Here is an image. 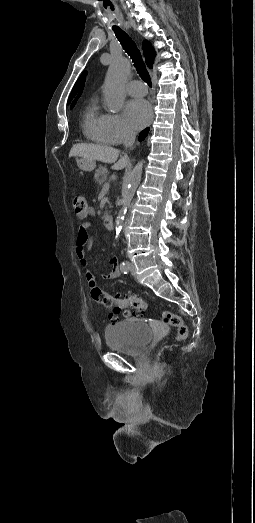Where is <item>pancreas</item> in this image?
Masks as SVG:
<instances>
[{
	"label": "pancreas",
	"mask_w": 255,
	"mask_h": 523,
	"mask_svg": "<svg viewBox=\"0 0 255 523\" xmlns=\"http://www.w3.org/2000/svg\"><path fill=\"white\" fill-rule=\"evenodd\" d=\"M107 168H98V170H95V182H99V184H102V182H105V180H108L107 178Z\"/></svg>",
	"instance_id": "1"
}]
</instances>
